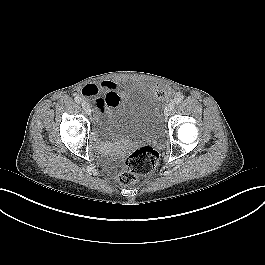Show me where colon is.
I'll return each instance as SVG.
<instances>
[{
    "label": "colon",
    "mask_w": 265,
    "mask_h": 265,
    "mask_svg": "<svg viewBox=\"0 0 265 265\" xmlns=\"http://www.w3.org/2000/svg\"><path fill=\"white\" fill-rule=\"evenodd\" d=\"M159 153L151 146H143L123 159L122 171L118 175L121 185H130L138 177L152 172L158 165Z\"/></svg>",
    "instance_id": "obj_1"
}]
</instances>
